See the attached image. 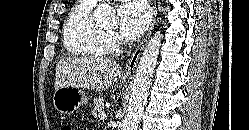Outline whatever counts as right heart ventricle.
<instances>
[{"instance_id": "1", "label": "right heart ventricle", "mask_w": 249, "mask_h": 130, "mask_svg": "<svg viewBox=\"0 0 249 130\" xmlns=\"http://www.w3.org/2000/svg\"><path fill=\"white\" fill-rule=\"evenodd\" d=\"M96 2L78 0L63 27V43L71 55L102 57L110 51V39L95 21L92 10Z\"/></svg>"}]
</instances>
